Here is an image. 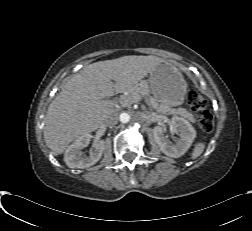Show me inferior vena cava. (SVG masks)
<instances>
[{
	"label": "inferior vena cava",
	"instance_id": "obj_1",
	"mask_svg": "<svg viewBox=\"0 0 252 231\" xmlns=\"http://www.w3.org/2000/svg\"><path fill=\"white\" fill-rule=\"evenodd\" d=\"M117 123H118V115L116 113L107 116L104 120V124L106 126H114Z\"/></svg>",
	"mask_w": 252,
	"mask_h": 231
}]
</instances>
